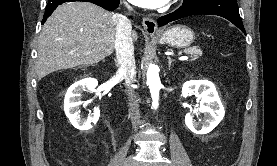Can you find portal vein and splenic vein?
<instances>
[{
  "label": "portal vein and splenic vein",
  "instance_id": "18ae733b",
  "mask_svg": "<svg viewBox=\"0 0 277 166\" xmlns=\"http://www.w3.org/2000/svg\"><path fill=\"white\" fill-rule=\"evenodd\" d=\"M187 59H188V56H181V57H179L180 61L187 60Z\"/></svg>",
  "mask_w": 277,
  "mask_h": 166
}]
</instances>
